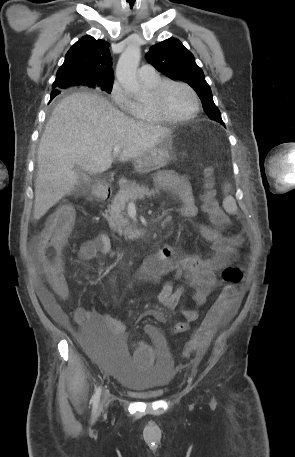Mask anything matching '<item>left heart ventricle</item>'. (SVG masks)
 Returning a JSON list of instances; mask_svg holds the SVG:
<instances>
[{
	"label": "left heart ventricle",
	"mask_w": 295,
	"mask_h": 457,
	"mask_svg": "<svg viewBox=\"0 0 295 457\" xmlns=\"http://www.w3.org/2000/svg\"><path fill=\"white\" fill-rule=\"evenodd\" d=\"M162 105L165 113L171 117H183L194 108L190 92L181 86H169L163 93Z\"/></svg>",
	"instance_id": "b2bd125f"
}]
</instances>
